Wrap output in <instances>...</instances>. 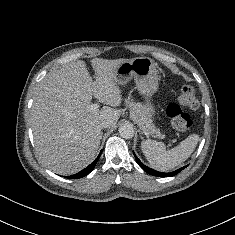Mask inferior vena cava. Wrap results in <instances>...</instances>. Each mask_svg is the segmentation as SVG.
<instances>
[{"label":"inferior vena cava","mask_w":235,"mask_h":235,"mask_svg":"<svg viewBox=\"0 0 235 235\" xmlns=\"http://www.w3.org/2000/svg\"><path fill=\"white\" fill-rule=\"evenodd\" d=\"M100 128H108L109 127V123L107 121H103L100 125Z\"/></svg>","instance_id":"602c4592"}]
</instances>
